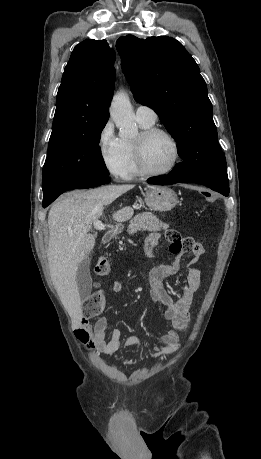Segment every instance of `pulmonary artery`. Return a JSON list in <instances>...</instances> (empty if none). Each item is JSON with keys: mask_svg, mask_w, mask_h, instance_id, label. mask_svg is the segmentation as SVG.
<instances>
[{"mask_svg": "<svg viewBox=\"0 0 261 459\" xmlns=\"http://www.w3.org/2000/svg\"><path fill=\"white\" fill-rule=\"evenodd\" d=\"M136 119L138 121H142V122H146V123H155L156 120H157V114L156 112L148 107V106H145V105H139L137 108H136Z\"/></svg>", "mask_w": 261, "mask_h": 459, "instance_id": "e3ab8cb5", "label": "pulmonary artery"}]
</instances>
